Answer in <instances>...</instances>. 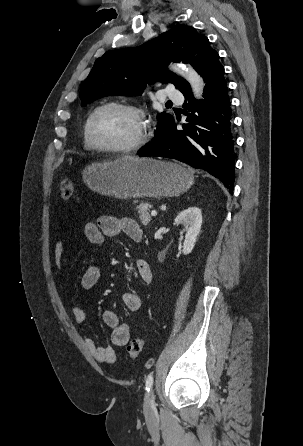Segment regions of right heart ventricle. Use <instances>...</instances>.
Returning <instances> with one entry per match:
<instances>
[{
	"mask_svg": "<svg viewBox=\"0 0 303 446\" xmlns=\"http://www.w3.org/2000/svg\"><path fill=\"white\" fill-rule=\"evenodd\" d=\"M83 146H84L85 149H88V150L91 149V147L89 146V144H88V142L86 140V137H85V130H84V136H83Z\"/></svg>",
	"mask_w": 303,
	"mask_h": 446,
	"instance_id": "1",
	"label": "right heart ventricle"
}]
</instances>
